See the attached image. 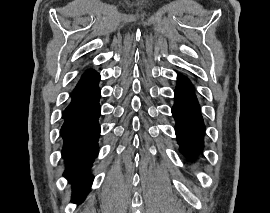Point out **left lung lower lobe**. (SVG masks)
I'll return each mask as SVG.
<instances>
[{
	"mask_svg": "<svg viewBox=\"0 0 270 213\" xmlns=\"http://www.w3.org/2000/svg\"><path fill=\"white\" fill-rule=\"evenodd\" d=\"M172 114L176 121V136L184 155L193 159L204 145V122L190 81L178 76Z\"/></svg>",
	"mask_w": 270,
	"mask_h": 213,
	"instance_id": "0a47b994",
	"label": "left lung lower lobe"
}]
</instances>
